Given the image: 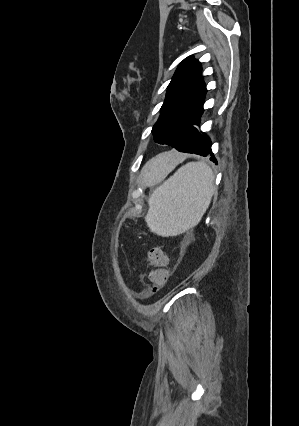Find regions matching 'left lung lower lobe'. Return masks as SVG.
I'll list each match as a JSON object with an SVG mask.
<instances>
[{"label":"left lung lower lobe","instance_id":"obj_1","mask_svg":"<svg viewBox=\"0 0 299 426\" xmlns=\"http://www.w3.org/2000/svg\"><path fill=\"white\" fill-rule=\"evenodd\" d=\"M202 113L203 109L191 120L170 146L181 152L195 153L201 156L210 154L212 156L210 160L217 164L211 150V141L209 137L200 133L197 129Z\"/></svg>","mask_w":299,"mask_h":426}]
</instances>
